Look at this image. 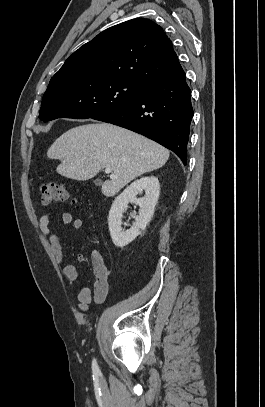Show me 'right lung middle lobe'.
<instances>
[{
    "instance_id": "dd1d6c3e",
    "label": "right lung middle lobe",
    "mask_w": 265,
    "mask_h": 407,
    "mask_svg": "<svg viewBox=\"0 0 265 407\" xmlns=\"http://www.w3.org/2000/svg\"><path fill=\"white\" fill-rule=\"evenodd\" d=\"M145 88L137 82L104 77L51 82L43 96L39 118L44 122L95 118L134 103Z\"/></svg>"
}]
</instances>
